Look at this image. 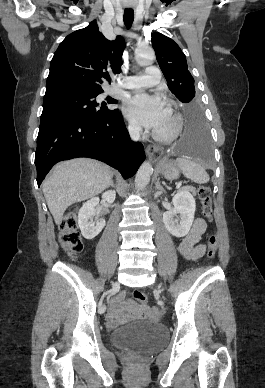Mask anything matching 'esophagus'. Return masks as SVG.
Here are the masks:
<instances>
[{
  "instance_id": "1",
  "label": "esophagus",
  "mask_w": 265,
  "mask_h": 388,
  "mask_svg": "<svg viewBox=\"0 0 265 388\" xmlns=\"http://www.w3.org/2000/svg\"><path fill=\"white\" fill-rule=\"evenodd\" d=\"M146 153L149 159L160 158V156H162L164 153V148L161 146L150 145L146 148Z\"/></svg>"
}]
</instances>
